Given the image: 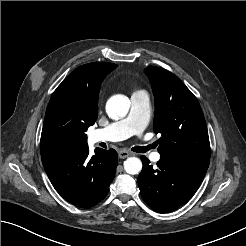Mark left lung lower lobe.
<instances>
[{"mask_svg": "<svg viewBox=\"0 0 246 246\" xmlns=\"http://www.w3.org/2000/svg\"><path fill=\"white\" fill-rule=\"evenodd\" d=\"M143 169L138 184L143 200L156 212L168 213L185 204L199 188L210 158L182 154H161L153 168L141 156Z\"/></svg>", "mask_w": 246, "mask_h": 246, "instance_id": "1", "label": "left lung lower lobe"}]
</instances>
